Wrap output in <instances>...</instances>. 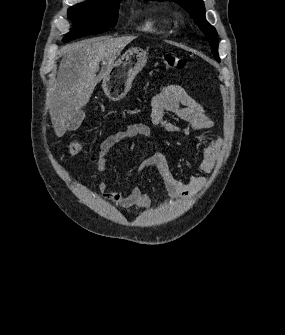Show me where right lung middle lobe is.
<instances>
[{
  "mask_svg": "<svg viewBox=\"0 0 285 335\" xmlns=\"http://www.w3.org/2000/svg\"><path fill=\"white\" fill-rule=\"evenodd\" d=\"M118 4H105L90 1L74 5L68 9V17L74 26L64 37L68 42L79 37L103 33L109 27H114L118 18Z\"/></svg>",
  "mask_w": 285,
  "mask_h": 335,
  "instance_id": "dd1d6c3e",
  "label": "right lung middle lobe"
}]
</instances>
